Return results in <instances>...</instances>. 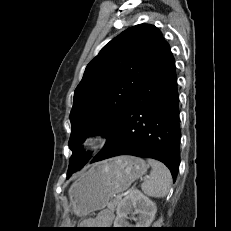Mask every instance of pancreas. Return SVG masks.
Instances as JSON below:
<instances>
[{
  "mask_svg": "<svg viewBox=\"0 0 231 231\" xmlns=\"http://www.w3.org/2000/svg\"><path fill=\"white\" fill-rule=\"evenodd\" d=\"M120 202H121V198H114L108 203V208L110 210H115L116 207H118V205L120 204Z\"/></svg>",
  "mask_w": 231,
  "mask_h": 231,
  "instance_id": "cf45deb5",
  "label": "pancreas"
}]
</instances>
